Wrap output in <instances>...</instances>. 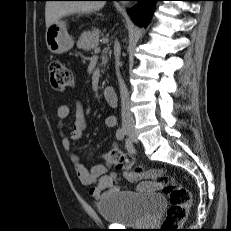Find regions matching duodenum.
<instances>
[{"instance_id": "1", "label": "duodenum", "mask_w": 231, "mask_h": 231, "mask_svg": "<svg viewBox=\"0 0 231 231\" xmlns=\"http://www.w3.org/2000/svg\"><path fill=\"white\" fill-rule=\"evenodd\" d=\"M103 95L110 106L116 107L118 105V97L114 88L105 87L103 89Z\"/></svg>"}]
</instances>
